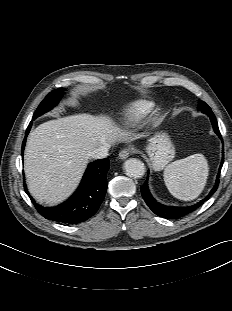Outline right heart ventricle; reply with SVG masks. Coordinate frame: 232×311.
Segmentation results:
<instances>
[{"instance_id": "e07e8e85", "label": "right heart ventricle", "mask_w": 232, "mask_h": 311, "mask_svg": "<svg viewBox=\"0 0 232 311\" xmlns=\"http://www.w3.org/2000/svg\"><path fill=\"white\" fill-rule=\"evenodd\" d=\"M153 103L146 100H140L130 104L122 113L120 121L124 126H133L152 109Z\"/></svg>"}]
</instances>
